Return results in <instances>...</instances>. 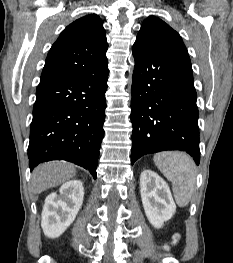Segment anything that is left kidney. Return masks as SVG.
I'll return each instance as SVG.
<instances>
[{
	"label": "left kidney",
	"instance_id": "5707ae66",
	"mask_svg": "<svg viewBox=\"0 0 233 263\" xmlns=\"http://www.w3.org/2000/svg\"><path fill=\"white\" fill-rule=\"evenodd\" d=\"M140 192L149 222L155 228H161L176 211V205L167 183L155 172L144 170L140 176Z\"/></svg>",
	"mask_w": 233,
	"mask_h": 263
}]
</instances>
